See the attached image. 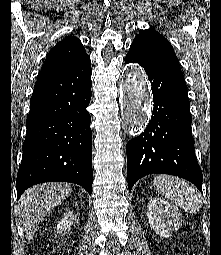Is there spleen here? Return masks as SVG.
Masks as SVG:
<instances>
[{
  "instance_id": "3e777b00",
  "label": "spleen",
  "mask_w": 221,
  "mask_h": 255,
  "mask_svg": "<svg viewBox=\"0 0 221 255\" xmlns=\"http://www.w3.org/2000/svg\"><path fill=\"white\" fill-rule=\"evenodd\" d=\"M157 192L186 212L197 213L202 207L199 193L185 180L176 176L157 175L153 180Z\"/></svg>"
}]
</instances>
